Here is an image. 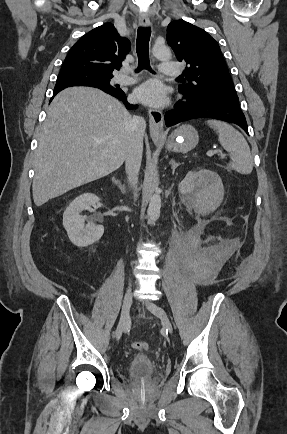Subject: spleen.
Listing matches in <instances>:
<instances>
[{"label":"spleen","mask_w":287,"mask_h":434,"mask_svg":"<svg viewBox=\"0 0 287 434\" xmlns=\"http://www.w3.org/2000/svg\"><path fill=\"white\" fill-rule=\"evenodd\" d=\"M207 124L218 133L219 143L231 155L228 167L240 174H250L253 170V159L244 136L222 121L208 120Z\"/></svg>","instance_id":"spleen-1"}]
</instances>
